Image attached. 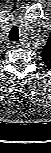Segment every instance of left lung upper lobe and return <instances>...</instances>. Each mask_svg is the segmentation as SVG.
<instances>
[{"mask_svg":"<svg viewBox=\"0 0 51 153\" xmlns=\"http://www.w3.org/2000/svg\"><path fill=\"white\" fill-rule=\"evenodd\" d=\"M41 57L43 64L51 69V35L48 38L47 43L43 46L41 50Z\"/></svg>","mask_w":51,"mask_h":153,"instance_id":"5c2ea615","label":"left lung upper lobe"}]
</instances>
